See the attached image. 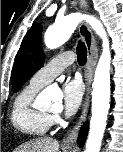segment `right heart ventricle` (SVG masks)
Listing matches in <instances>:
<instances>
[{"mask_svg":"<svg viewBox=\"0 0 123 152\" xmlns=\"http://www.w3.org/2000/svg\"><path fill=\"white\" fill-rule=\"evenodd\" d=\"M39 89L26 86L15 99L11 112L13 126L29 136H44L52 125L51 115L33 106Z\"/></svg>","mask_w":123,"mask_h":152,"instance_id":"right-heart-ventricle-1","label":"right heart ventricle"}]
</instances>
